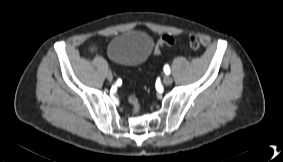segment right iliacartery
Instances as JSON below:
<instances>
[{
	"label": "right iliac artery",
	"mask_w": 283,
	"mask_h": 162,
	"mask_svg": "<svg viewBox=\"0 0 283 162\" xmlns=\"http://www.w3.org/2000/svg\"><path fill=\"white\" fill-rule=\"evenodd\" d=\"M118 80V85H122L123 84V78H120L119 76L117 77Z\"/></svg>",
	"instance_id": "82829eb1"
}]
</instances>
